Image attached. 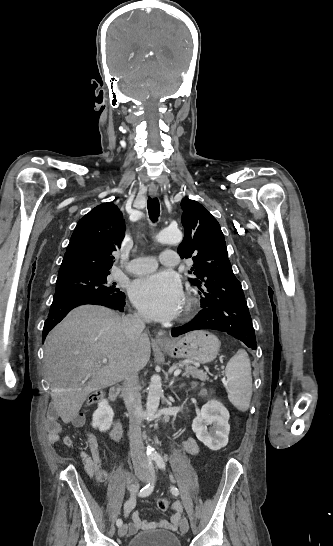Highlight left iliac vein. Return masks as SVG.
Here are the masks:
<instances>
[{
    "instance_id": "4c4485c4",
    "label": "left iliac vein",
    "mask_w": 333,
    "mask_h": 546,
    "mask_svg": "<svg viewBox=\"0 0 333 546\" xmlns=\"http://www.w3.org/2000/svg\"><path fill=\"white\" fill-rule=\"evenodd\" d=\"M151 477L148 476L147 481H150ZM180 530L183 534L187 533L189 530V522L188 519L183 516L180 520Z\"/></svg>"
}]
</instances>
